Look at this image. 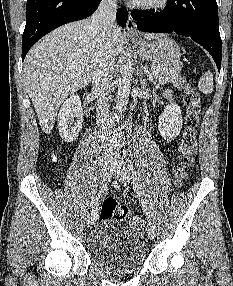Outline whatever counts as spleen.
Instances as JSON below:
<instances>
[{"label":"spleen","mask_w":233,"mask_h":286,"mask_svg":"<svg viewBox=\"0 0 233 286\" xmlns=\"http://www.w3.org/2000/svg\"><path fill=\"white\" fill-rule=\"evenodd\" d=\"M213 88V74L210 71H207L201 76L198 83V89L204 94H211Z\"/></svg>","instance_id":"spleen-1"}]
</instances>
